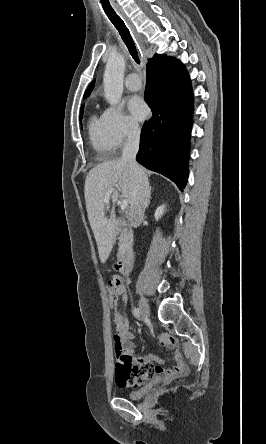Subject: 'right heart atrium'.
Wrapping results in <instances>:
<instances>
[{
    "instance_id": "d8ad5b80",
    "label": "right heart atrium",
    "mask_w": 266,
    "mask_h": 444,
    "mask_svg": "<svg viewBox=\"0 0 266 444\" xmlns=\"http://www.w3.org/2000/svg\"><path fill=\"white\" fill-rule=\"evenodd\" d=\"M102 116L108 137L114 148L121 147L125 142L139 135L138 124L120 106L107 108Z\"/></svg>"
}]
</instances>
